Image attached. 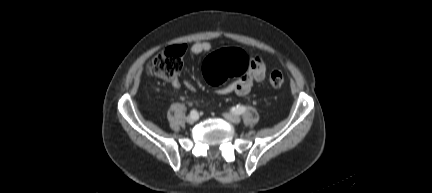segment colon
I'll return each mask as SVG.
<instances>
[{
    "instance_id": "obj_1",
    "label": "colon",
    "mask_w": 432,
    "mask_h": 193,
    "mask_svg": "<svg viewBox=\"0 0 432 193\" xmlns=\"http://www.w3.org/2000/svg\"><path fill=\"white\" fill-rule=\"evenodd\" d=\"M184 49L181 46L169 47L157 54L150 62L149 72L167 82H175L180 73ZM251 67V57L238 48H227L211 54L204 62L203 71L212 85H220L229 78L240 77ZM281 71L274 70L269 75L273 87L284 84Z\"/></svg>"
}]
</instances>
